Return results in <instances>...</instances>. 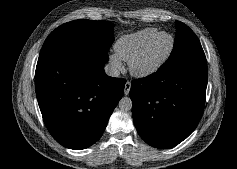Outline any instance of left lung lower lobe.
Listing matches in <instances>:
<instances>
[{
    "instance_id": "obj_1",
    "label": "left lung lower lobe",
    "mask_w": 237,
    "mask_h": 169,
    "mask_svg": "<svg viewBox=\"0 0 237 169\" xmlns=\"http://www.w3.org/2000/svg\"><path fill=\"white\" fill-rule=\"evenodd\" d=\"M206 59L183 62L172 69L132 81L134 125L149 145L166 149L186 139L197 127L205 104Z\"/></svg>"
}]
</instances>
